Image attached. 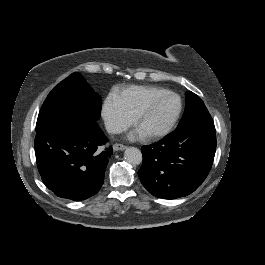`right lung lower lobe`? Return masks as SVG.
Here are the masks:
<instances>
[{
	"label": "right lung lower lobe",
	"instance_id": "obj_1",
	"mask_svg": "<svg viewBox=\"0 0 265 265\" xmlns=\"http://www.w3.org/2000/svg\"><path fill=\"white\" fill-rule=\"evenodd\" d=\"M107 141L97 121L56 114L36 128L35 154L43 183L61 198L80 201L93 196L113 153L111 148L100 152Z\"/></svg>",
	"mask_w": 265,
	"mask_h": 265
}]
</instances>
